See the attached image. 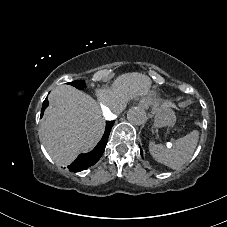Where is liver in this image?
<instances>
[{"mask_svg": "<svg viewBox=\"0 0 227 227\" xmlns=\"http://www.w3.org/2000/svg\"><path fill=\"white\" fill-rule=\"evenodd\" d=\"M147 76L131 73L118 77L114 91L100 90L99 101L113 107L114 100L142 95L150 86ZM50 107L39 127L45 148L59 165L71 163L80 152L88 151L100 139L104 121L92 98L72 86L56 87L49 95Z\"/></svg>", "mask_w": 227, "mask_h": 227, "instance_id": "obj_1", "label": "liver"}]
</instances>
